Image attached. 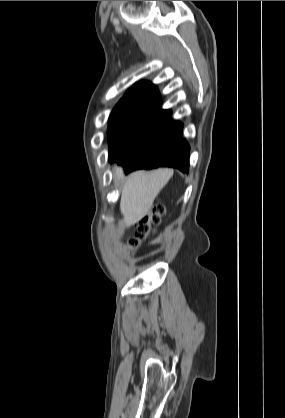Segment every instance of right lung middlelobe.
<instances>
[{"label": "right lung middle lobe", "instance_id": "dd1d6c3e", "mask_svg": "<svg viewBox=\"0 0 285 418\" xmlns=\"http://www.w3.org/2000/svg\"><path fill=\"white\" fill-rule=\"evenodd\" d=\"M170 110L142 105L119 104L109 117V158L118 157L163 125Z\"/></svg>", "mask_w": 285, "mask_h": 418}]
</instances>
